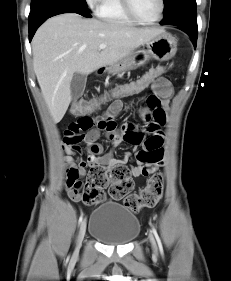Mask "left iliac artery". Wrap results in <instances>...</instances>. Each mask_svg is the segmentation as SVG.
I'll use <instances>...</instances> for the list:
<instances>
[{"mask_svg": "<svg viewBox=\"0 0 231 281\" xmlns=\"http://www.w3.org/2000/svg\"><path fill=\"white\" fill-rule=\"evenodd\" d=\"M152 232H153V234H154V236H155V238H156V241H157V243H158L160 252L163 254L162 243H161V240H160V238H159V235H158V233H157V231H156V229H155L154 226H152Z\"/></svg>", "mask_w": 231, "mask_h": 281, "instance_id": "1", "label": "left iliac artery"}]
</instances>
